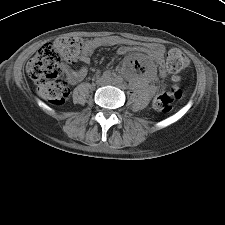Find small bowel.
Listing matches in <instances>:
<instances>
[{
  "instance_id": "small-bowel-1",
  "label": "small bowel",
  "mask_w": 225,
  "mask_h": 225,
  "mask_svg": "<svg viewBox=\"0 0 225 225\" xmlns=\"http://www.w3.org/2000/svg\"><path fill=\"white\" fill-rule=\"evenodd\" d=\"M121 44H123L122 40L114 36L87 39L82 44L80 61L84 64H88L90 62L91 54L96 49L101 47H111L120 45L117 49V54L119 55H126L131 52H140L147 54L150 57V59L158 65H161L163 63L164 47L162 45L147 44L145 46L131 47ZM64 72L71 83H77L86 76L88 69L87 66L84 65L78 70H71L69 68H64Z\"/></svg>"
}]
</instances>
